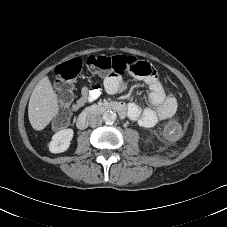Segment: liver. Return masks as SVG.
Returning <instances> with one entry per match:
<instances>
[{
	"label": "liver",
	"instance_id": "liver-1",
	"mask_svg": "<svg viewBox=\"0 0 227 227\" xmlns=\"http://www.w3.org/2000/svg\"><path fill=\"white\" fill-rule=\"evenodd\" d=\"M59 111L57 95L47 76L35 86L28 105L29 122L33 129H44Z\"/></svg>",
	"mask_w": 227,
	"mask_h": 227
}]
</instances>
